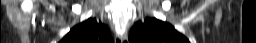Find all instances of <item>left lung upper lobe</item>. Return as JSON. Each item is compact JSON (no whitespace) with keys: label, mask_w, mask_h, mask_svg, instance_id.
<instances>
[{"label":"left lung upper lobe","mask_w":256,"mask_h":43,"mask_svg":"<svg viewBox=\"0 0 256 43\" xmlns=\"http://www.w3.org/2000/svg\"><path fill=\"white\" fill-rule=\"evenodd\" d=\"M130 43H189L175 28L156 18H147L142 24L137 22L129 34Z\"/></svg>","instance_id":"5c2ea615"}]
</instances>
